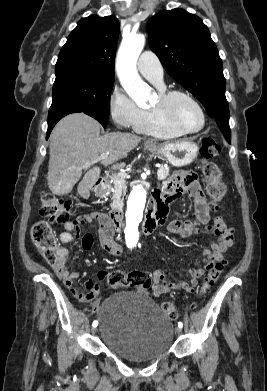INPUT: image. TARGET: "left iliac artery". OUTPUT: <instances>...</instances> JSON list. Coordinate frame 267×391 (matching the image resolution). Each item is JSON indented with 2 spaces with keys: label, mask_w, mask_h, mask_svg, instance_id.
<instances>
[{
  "label": "left iliac artery",
  "mask_w": 267,
  "mask_h": 391,
  "mask_svg": "<svg viewBox=\"0 0 267 391\" xmlns=\"http://www.w3.org/2000/svg\"><path fill=\"white\" fill-rule=\"evenodd\" d=\"M183 326V323L182 322H178V327L182 328Z\"/></svg>",
  "instance_id": "left-iliac-artery-1"
}]
</instances>
